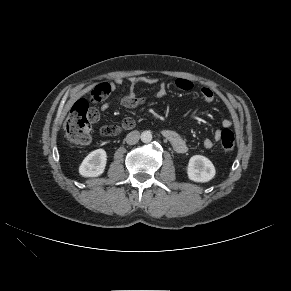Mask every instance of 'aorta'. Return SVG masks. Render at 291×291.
Returning <instances> with one entry per match:
<instances>
[{
  "label": "aorta",
  "mask_w": 291,
  "mask_h": 291,
  "mask_svg": "<svg viewBox=\"0 0 291 291\" xmlns=\"http://www.w3.org/2000/svg\"><path fill=\"white\" fill-rule=\"evenodd\" d=\"M140 138L142 142L149 143L152 140V134L150 131H143Z\"/></svg>",
  "instance_id": "762f6f07"
}]
</instances>
